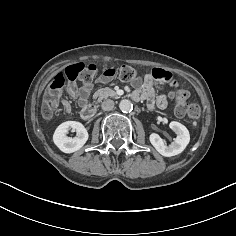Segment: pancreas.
Wrapping results in <instances>:
<instances>
[{"label": "pancreas", "instance_id": "pancreas-1", "mask_svg": "<svg viewBox=\"0 0 236 236\" xmlns=\"http://www.w3.org/2000/svg\"><path fill=\"white\" fill-rule=\"evenodd\" d=\"M114 96H116V92L108 87L99 89L93 94V98L97 99L98 102H101L105 98Z\"/></svg>", "mask_w": 236, "mask_h": 236}]
</instances>
